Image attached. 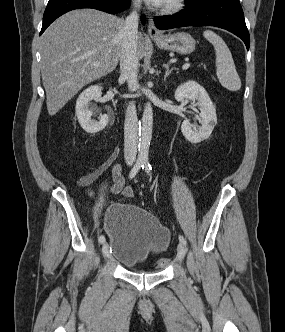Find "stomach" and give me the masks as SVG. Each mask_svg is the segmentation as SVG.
I'll list each match as a JSON object with an SVG mask.
<instances>
[{
  "mask_svg": "<svg viewBox=\"0 0 285 332\" xmlns=\"http://www.w3.org/2000/svg\"><path fill=\"white\" fill-rule=\"evenodd\" d=\"M153 40L159 48L183 55L192 53L196 45L195 39L186 32L162 35L161 37L153 38Z\"/></svg>",
  "mask_w": 285,
  "mask_h": 332,
  "instance_id": "0dacf381",
  "label": "stomach"
}]
</instances>
